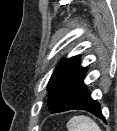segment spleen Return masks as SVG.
<instances>
[{
	"label": "spleen",
	"mask_w": 117,
	"mask_h": 131,
	"mask_svg": "<svg viewBox=\"0 0 117 131\" xmlns=\"http://www.w3.org/2000/svg\"><path fill=\"white\" fill-rule=\"evenodd\" d=\"M67 129L68 131H101L94 120L84 115L71 118L67 123Z\"/></svg>",
	"instance_id": "3e777b00"
}]
</instances>
